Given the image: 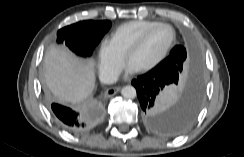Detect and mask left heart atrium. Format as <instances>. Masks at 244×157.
Returning <instances> with one entry per match:
<instances>
[{"instance_id":"39dd6f15","label":"left heart atrium","mask_w":244,"mask_h":157,"mask_svg":"<svg viewBox=\"0 0 244 157\" xmlns=\"http://www.w3.org/2000/svg\"><path fill=\"white\" fill-rule=\"evenodd\" d=\"M138 69H136L133 65L129 64L126 67V74H133L137 71Z\"/></svg>"}]
</instances>
